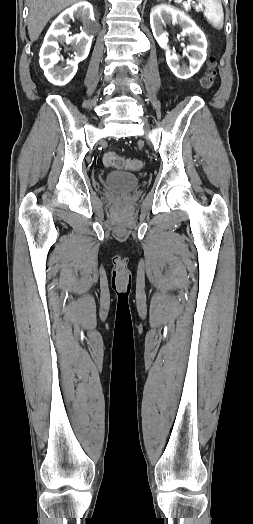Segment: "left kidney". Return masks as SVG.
I'll return each instance as SVG.
<instances>
[{"mask_svg":"<svg viewBox=\"0 0 253 524\" xmlns=\"http://www.w3.org/2000/svg\"><path fill=\"white\" fill-rule=\"evenodd\" d=\"M169 23L179 24L183 29L181 35L189 37V65L181 66L178 57L169 49L168 34L163 30V26ZM150 24L156 41L166 51V61L171 71L181 79H188L197 73L206 60L207 41L196 24L184 12L166 4L157 5L152 9Z\"/></svg>","mask_w":253,"mask_h":524,"instance_id":"left-kidney-1","label":"left kidney"}]
</instances>
